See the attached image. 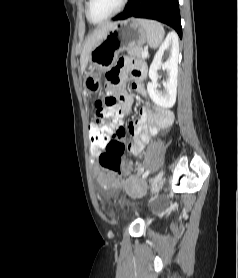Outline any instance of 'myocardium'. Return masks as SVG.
<instances>
[{
	"label": "myocardium",
	"mask_w": 238,
	"mask_h": 278,
	"mask_svg": "<svg viewBox=\"0 0 238 278\" xmlns=\"http://www.w3.org/2000/svg\"><path fill=\"white\" fill-rule=\"evenodd\" d=\"M91 2H92V0H87V2H86V10H85L86 17L91 23L100 24V23H103V22L115 17L117 14H119L125 8L128 0H122L119 7L114 12H112L110 15H108L107 17H105L101 20H95V19L92 18L91 14H90Z\"/></svg>",
	"instance_id": "1"
}]
</instances>
